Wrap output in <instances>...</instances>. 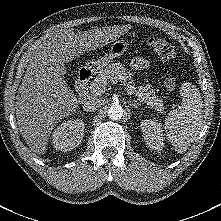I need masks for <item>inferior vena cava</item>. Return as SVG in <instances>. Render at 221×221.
I'll use <instances>...</instances> for the list:
<instances>
[{
	"mask_svg": "<svg viewBox=\"0 0 221 221\" xmlns=\"http://www.w3.org/2000/svg\"><path fill=\"white\" fill-rule=\"evenodd\" d=\"M101 105H102V100H100L97 97H93L84 103L83 109L86 112H93L97 110V108L101 107Z\"/></svg>",
	"mask_w": 221,
	"mask_h": 221,
	"instance_id": "602c4592",
	"label": "inferior vena cava"
}]
</instances>
